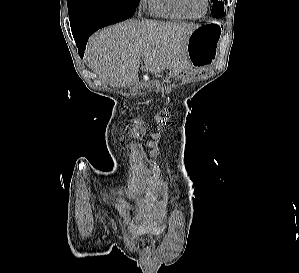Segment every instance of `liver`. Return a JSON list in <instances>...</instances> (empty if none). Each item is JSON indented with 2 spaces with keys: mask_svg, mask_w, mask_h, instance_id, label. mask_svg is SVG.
I'll return each mask as SVG.
<instances>
[{
  "mask_svg": "<svg viewBox=\"0 0 299 273\" xmlns=\"http://www.w3.org/2000/svg\"><path fill=\"white\" fill-rule=\"evenodd\" d=\"M199 25L159 21H126L95 33L87 45L90 68L115 85L138 81L141 60L146 71L179 73L191 66L187 44Z\"/></svg>",
  "mask_w": 299,
  "mask_h": 273,
  "instance_id": "1",
  "label": "liver"
}]
</instances>
